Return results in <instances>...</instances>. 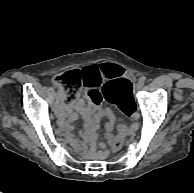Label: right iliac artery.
Here are the masks:
<instances>
[{
	"label": "right iliac artery",
	"mask_w": 194,
	"mask_h": 193,
	"mask_svg": "<svg viewBox=\"0 0 194 193\" xmlns=\"http://www.w3.org/2000/svg\"><path fill=\"white\" fill-rule=\"evenodd\" d=\"M58 89H59V91H61L62 89H61V87H60V85L58 86Z\"/></svg>",
	"instance_id": "obj_1"
}]
</instances>
